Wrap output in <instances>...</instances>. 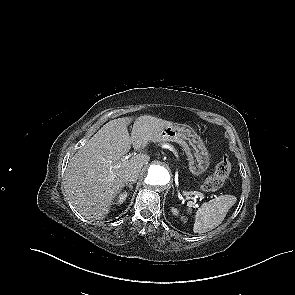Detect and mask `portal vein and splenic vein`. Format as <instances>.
Masks as SVG:
<instances>
[{"label":"portal vein and splenic vein","mask_w":295,"mask_h":295,"mask_svg":"<svg viewBox=\"0 0 295 295\" xmlns=\"http://www.w3.org/2000/svg\"><path fill=\"white\" fill-rule=\"evenodd\" d=\"M125 159H128V157H125ZM185 195H193L195 198L204 199V195L201 192L198 191H183Z\"/></svg>","instance_id":"portal-vein-and-splenic-vein-1"}]
</instances>
